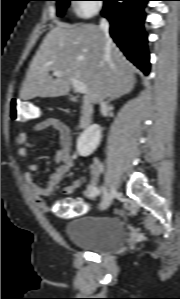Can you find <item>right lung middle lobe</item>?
I'll return each mask as SVG.
<instances>
[{"mask_svg": "<svg viewBox=\"0 0 180 299\" xmlns=\"http://www.w3.org/2000/svg\"><path fill=\"white\" fill-rule=\"evenodd\" d=\"M56 1L58 2L57 14H58V16H63L64 11L68 7L69 1H71V0H56Z\"/></svg>", "mask_w": 180, "mask_h": 299, "instance_id": "dd1d6c3e", "label": "right lung middle lobe"}]
</instances>
